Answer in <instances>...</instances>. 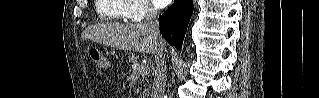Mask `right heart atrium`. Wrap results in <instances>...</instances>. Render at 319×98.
<instances>
[{
	"instance_id": "d8ad5b80",
	"label": "right heart atrium",
	"mask_w": 319,
	"mask_h": 98,
	"mask_svg": "<svg viewBox=\"0 0 319 98\" xmlns=\"http://www.w3.org/2000/svg\"><path fill=\"white\" fill-rule=\"evenodd\" d=\"M131 8L126 18L138 20L144 17L155 15V8L146 0H131Z\"/></svg>"
}]
</instances>
